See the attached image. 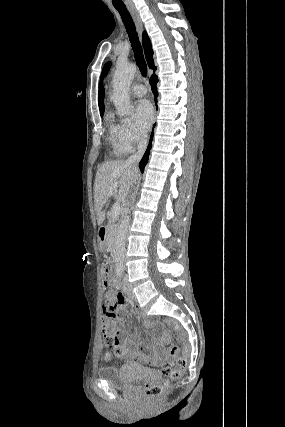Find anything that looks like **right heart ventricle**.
<instances>
[{"mask_svg": "<svg viewBox=\"0 0 285 427\" xmlns=\"http://www.w3.org/2000/svg\"><path fill=\"white\" fill-rule=\"evenodd\" d=\"M108 121H109V132H110L109 139H110V142H111V144L113 146V149H114L115 153L118 154V155H124V154H126V152L121 148V146H120V144L118 142V139H117V136H116V126H114L111 123L110 119H108Z\"/></svg>", "mask_w": 285, "mask_h": 427, "instance_id": "1", "label": "right heart ventricle"}]
</instances>
